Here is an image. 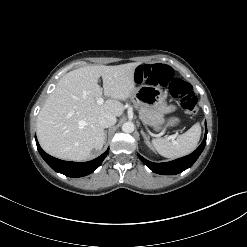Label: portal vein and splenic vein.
<instances>
[{"instance_id":"portal-vein-and-splenic-vein-1","label":"portal vein and splenic vein","mask_w":247,"mask_h":247,"mask_svg":"<svg viewBox=\"0 0 247 247\" xmlns=\"http://www.w3.org/2000/svg\"><path fill=\"white\" fill-rule=\"evenodd\" d=\"M104 103V99L103 98H98L97 99V104H99V105H102ZM175 136H173L172 138H174Z\"/></svg>"}]
</instances>
